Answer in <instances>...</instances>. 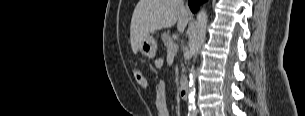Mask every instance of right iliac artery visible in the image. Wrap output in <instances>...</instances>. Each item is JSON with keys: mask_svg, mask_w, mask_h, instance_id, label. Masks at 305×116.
<instances>
[{"mask_svg": "<svg viewBox=\"0 0 305 116\" xmlns=\"http://www.w3.org/2000/svg\"><path fill=\"white\" fill-rule=\"evenodd\" d=\"M188 116H196V114L195 113H190V114H188Z\"/></svg>", "mask_w": 305, "mask_h": 116, "instance_id": "obj_1", "label": "right iliac artery"}]
</instances>
